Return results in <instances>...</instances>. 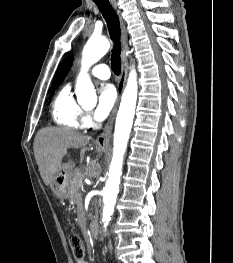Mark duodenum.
<instances>
[{"mask_svg": "<svg viewBox=\"0 0 233 263\" xmlns=\"http://www.w3.org/2000/svg\"><path fill=\"white\" fill-rule=\"evenodd\" d=\"M89 230L93 237H96L99 232V225L96 219L91 220L89 224Z\"/></svg>", "mask_w": 233, "mask_h": 263, "instance_id": "1", "label": "duodenum"}]
</instances>
